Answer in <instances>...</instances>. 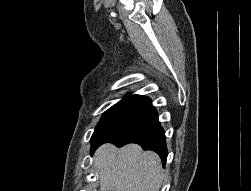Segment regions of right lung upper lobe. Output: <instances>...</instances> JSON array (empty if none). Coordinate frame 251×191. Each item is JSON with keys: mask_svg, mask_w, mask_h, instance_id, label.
Masks as SVG:
<instances>
[{"mask_svg": "<svg viewBox=\"0 0 251 191\" xmlns=\"http://www.w3.org/2000/svg\"><path fill=\"white\" fill-rule=\"evenodd\" d=\"M115 107H125L131 109H139L145 111L152 106L151 100L142 95H129L116 103Z\"/></svg>", "mask_w": 251, "mask_h": 191, "instance_id": "obj_1", "label": "right lung upper lobe"}]
</instances>
